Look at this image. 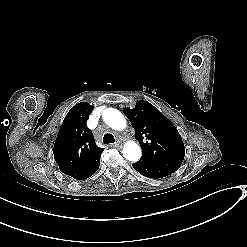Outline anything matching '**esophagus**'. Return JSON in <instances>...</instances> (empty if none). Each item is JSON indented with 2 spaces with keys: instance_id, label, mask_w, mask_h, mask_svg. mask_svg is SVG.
<instances>
[{
  "instance_id": "obj_1",
  "label": "esophagus",
  "mask_w": 247,
  "mask_h": 247,
  "mask_svg": "<svg viewBox=\"0 0 247 247\" xmlns=\"http://www.w3.org/2000/svg\"><path fill=\"white\" fill-rule=\"evenodd\" d=\"M112 147H116V148H121L122 147V144L121 143H117L115 145H111Z\"/></svg>"
}]
</instances>
